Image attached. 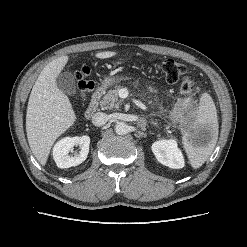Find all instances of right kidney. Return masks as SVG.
I'll use <instances>...</instances> for the list:
<instances>
[{
	"mask_svg": "<svg viewBox=\"0 0 247 247\" xmlns=\"http://www.w3.org/2000/svg\"><path fill=\"white\" fill-rule=\"evenodd\" d=\"M80 147L79 154L70 156L69 152L74 146ZM90 138L87 135L65 137L58 141L53 148V159L59 168H69L84 162L89 153Z\"/></svg>",
	"mask_w": 247,
	"mask_h": 247,
	"instance_id": "right-kidney-1",
	"label": "right kidney"
}]
</instances>
